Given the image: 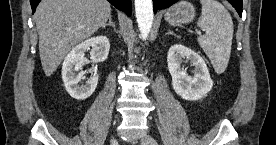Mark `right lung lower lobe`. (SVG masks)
<instances>
[{
    "label": "right lung lower lobe",
    "mask_w": 276,
    "mask_h": 145,
    "mask_svg": "<svg viewBox=\"0 0 276 145\" xmlns=\"http://www.w3.org/2000/svg\"><path fill=\"white\" fill-rule=\"evenodd\" d=\"M117 9L124 11L128 16L132 13L131 0H108ZM40 0H30L32 13L35 12L36 7Z\"/></svg>",
    "instance_id": "obj_1"
}]
</instances>
